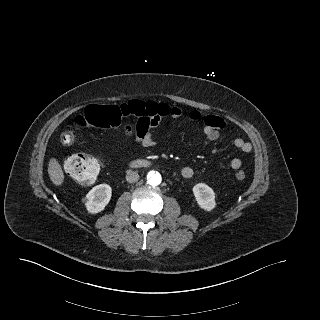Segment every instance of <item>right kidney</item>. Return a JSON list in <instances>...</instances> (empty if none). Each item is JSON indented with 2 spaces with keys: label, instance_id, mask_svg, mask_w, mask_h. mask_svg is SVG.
Returning a JSON list of instances; mask_svg holds the SVG:
<instances>
[{
  "label": "right kidney",
  "instance_id": "ca27d5eb",
  "mask_svg": "<svg viewBox=\"0 0 320 320\" xmlns=\"http://www.w3.org/2000/svg\"><path fill=\"white\" fill-rule=\"evenodd\" d=\"M112 195L111 186L100 184L93 187L86 195L85 207L91 214L99 213L109 203Z\"/></svg>",
  "mask_w": 320,
  "mask_h": 320
}]
</instances>
